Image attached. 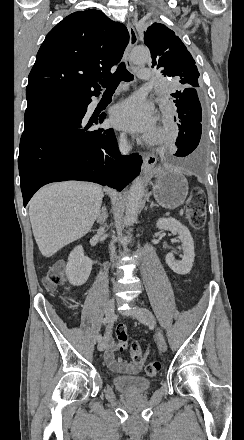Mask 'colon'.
Segmentation results:
<instances>
[{
    "mask_svg": "<svg viewBox=\"0 0 244 440\" xmlns=\"http://www.w3.org/2000/svg\"><path fill=\"white\" fill-rule=\"evenodd\" d=\"M204 191L201 188L193 190L189 199L188 217L191 226L199 230L204 226L206 218ZM63 274L60 271V265L56 268H50L49 272L43 278V283L49 290H54L61 286ZM117 347L120 351L128 346V337L124 325L120 324L116 328ZM130 358L133 363H140L143 360V351L137 342L130 344ZM161 371V364L158 361H149L144 366V373L148 378L156 377Z\"/></svg>",
    "mask_w": 244,
    "mask_h": 440,
    "instance_id": "colon-1",
    "label": "colon"
}]
</instances>
